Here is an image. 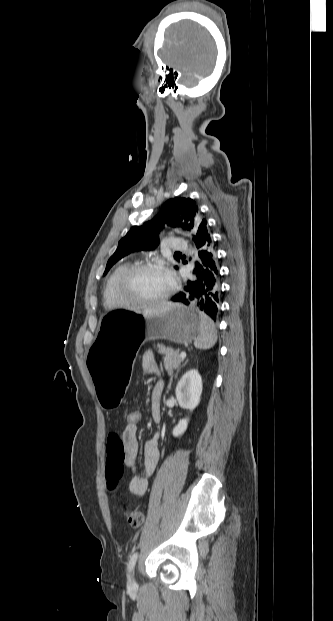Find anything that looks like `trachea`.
Here are the masks:
<instances>
[{"instance_id": "obj_1", "label": "trachea", "mask_w": 333, "mask_h": 621, "mask_svg": "<svg viewBox=\"0 0 333 621\" xmlns=\"http://www.w3.org/2000/svg\"><path fill=\"white\" fill-rule=\"evenodd\" d=\"M175 254H176V255H179V254H181V253H180V252H176Z\"/></svg>"}]
</instances>
